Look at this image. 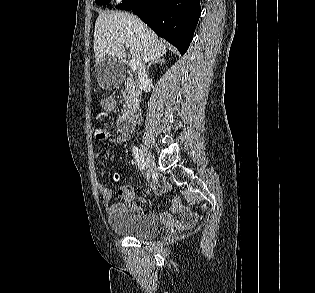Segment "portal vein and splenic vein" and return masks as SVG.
<instances>
[{"label": "portal vein and splenic vein", "instance_id": "portal-vein-and-splenic-vein-1", "mask_svg": "<svg viewBox=\"0 0 315 293\" xmlns=\"http://www.w3.org/2000/svg\"><path fill=\"white\" fill-rule=\"evenodd\" d=\"M137 68H138V64H137L134 60H131V61H130V69H131L132 71H136Z\"/></svg>", "mask_w": 315, "mask_h": 293}]
</instances>
